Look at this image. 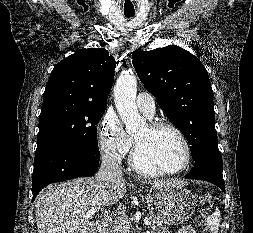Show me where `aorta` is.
I'll return each mask as SVG.
<instances>
[{"label":"aorta","mask_w":253,"mask_h":233,"mask_svg":"<svg viewBox=\"0 0 253 233\" xmlns=\"http://www.w3.org/2000/svg\"><path fill=\"white\" fill-rule=\"evenodd\" d=\"M136 93L137 79L135 75L131 70L124 71L118 77L114 87V101L129 134H134L146 126V121L139 114L136 106Z\"/></svg>","instance_id":"1"}]
</instances>
